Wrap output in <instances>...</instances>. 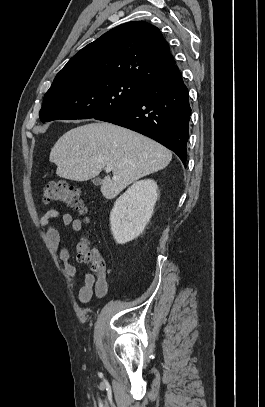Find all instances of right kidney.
I'll list each match as a JSON object with an SVG mask.
<instances>
[{
	"label": "right kidney",
	"mask_w": 265,
	"mask_h": 407,
	"mask_svg": "<svg viewBox=\"0 0 265 407\" xmlns=\"http://www.w3.org/2000/svg\"><path fill=\"white\" fill-rule=\"evenodd\" d=\"M157 190L154 180H141L116 200L110 214V225L117 244L130 242L143 232L152 217Z\"/></svg>",
	"instance_id": "ca27d5eb"
}]
</instances>
